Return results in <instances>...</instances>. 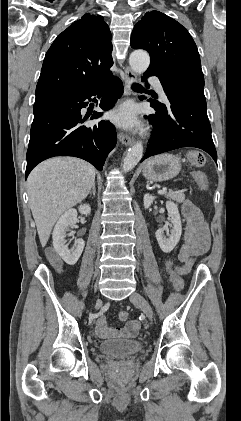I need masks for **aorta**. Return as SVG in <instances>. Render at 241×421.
Listing matches in <instances>:
<instances>
[{
  "instance_id": "1",
  "label": "aorta",
  "mask_w": 241,
  "mask_h": 421,
  "mask_svg": "<svg viewBox=\"0 0 241 421\" xmlns=\"http://www.w3.org/2000/svg\"><path fill=\"white\" fill-rule=\"evenodd\" d=\"M129 64L135 73L142 74L149 67L150 56L144 50H135L129 57ZM142 155L143 145L141 142H137L131 148H129L122 164L123 170L125 172L132 170L141 160Z\"/></svg>"
}]
</instances>
